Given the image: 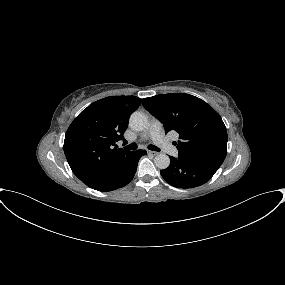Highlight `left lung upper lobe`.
<instances>
[{"mask_svg":"<svg viewBox=\"0 0 285 285\" xmlns=\"http://www.w3.org/2000/svg\"><path fill=\"white\" fill-rule=\"evenodd\" d=\"M145 109L163 123L165 132L179 133V157L221 165L227 152V131L220 115L190 94H160L144 98Z\"/></svg>","mask_w":285,"mask_h":285,"instance_id":"5c2ea615","label":"left lung upper lobe"}]
</instances>
